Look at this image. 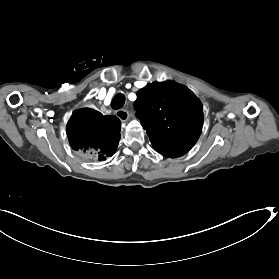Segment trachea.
I'll return each mask as SVG.
<instances>
[{"instance_id":"3493384b","label":"trachea","mask_w":279,"mask_h":279,"mask_svg":"<svg viewBox=\"0 0 279 279\" xmlns=\"http://www.w3.org/2000/svg\"><path fill=\"white\" fill-rule=\"evenodd\" d=\"M125 100H126V98H125L124 94L117 93L111 101V107L115 110L120 109L124 106Z\"/></svg>"}]
</instances>
